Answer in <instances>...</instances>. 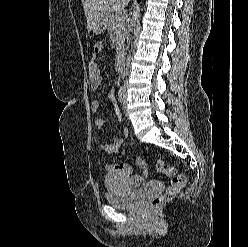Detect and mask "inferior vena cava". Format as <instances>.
I'll list each match as a JSON object with an SVG mask.
<instances>
[{"mask_svg":"<svg viewBox=\"0 0 248 247\" xmlns=\"http://www.w3.org/2000/svg\"><path fill=\"white\" fill-rule=\"evenodd\" d=\"M130 59V55H128V60Z\"/></svg>","mask_w":248,"mask_h":247,"instance_id":"1","label":"inferior vena cava"}]
</instances>
